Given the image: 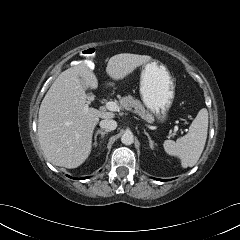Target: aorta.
Here are the masks:
<instances>
[{
    "label": "aorta",
    "mask_w": 240,
    "mask_h": 240,
    "mask_svg": "<svg viewBox=\"0 0 240 240\" xmlns=\"http://www.w3.org/2000/svg\"><path fill=\"white\" fill-rule=\"evenodd\" d=\"M121 142L125 145H131L134 142V136L131 132H125L121 137Z\"/></svg>",
    "instance_id": "762f6f07"
}]
</instances>
